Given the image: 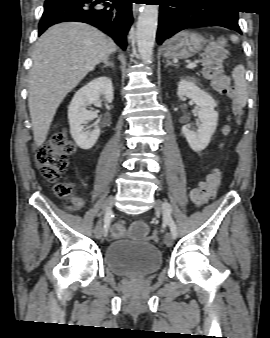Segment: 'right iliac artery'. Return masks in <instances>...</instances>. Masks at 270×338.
<instances>
[{"instance_id": "1", "label": "right iliac artery", "mask_w": 270, "mask_h": 338, "mask_svg": "<svg viewBox=\"0 0 270 338\" xmlns=\"http://www.w3.org/2000/svg\"><path fill=\"white\" fill-rule=\"evenodd\" d=\"M113 217L112 211L109 210L104 218V235L107 236L109 228H110V224H111V219Z\"/></svg>"}]
</instances>
